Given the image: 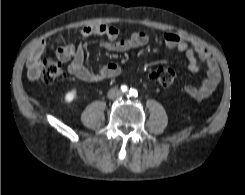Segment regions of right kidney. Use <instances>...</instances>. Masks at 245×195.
Segmentation results:
<instances>
[{"label":"right kidney","instance_id":"1","mask_svg":"<svg viewBox=\"0 0 245 195\" xmlns=\"http://www.w3.org/2000/svg\"><path fill=\"white\" fill-rule=\"evenodd\" d=\"M77 97V91L75 89L68 91L65 96H64V100L66 103H71L72 101H74Z\"/></svg>","mask_w":245,"mask_h":195}]
</instances>
